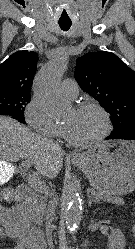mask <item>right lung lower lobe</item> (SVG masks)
<instances>
[{
  "label": "right lung lower lobe",
  "mask_w": 135,
  "mask_h": 249,
  "mask_svg": "<svg viewBox=\"0 0 135 249\" xmlns=\"http://www.w3.org/2000/svg\"><path fill=\"white\" fill-rule=\"evenodd\" d=\"M0 115H9V114L0 113ZM9 116H12V115H9ZM12 117H14V116H12ZM14 118L17 119L18 121H20L21 123L25 124V121H23L22 119H19V118H16V117H14Z\"/></svg>",
  "instance_id": "right-lung-lower-lobe-1"
}]
</instances>
